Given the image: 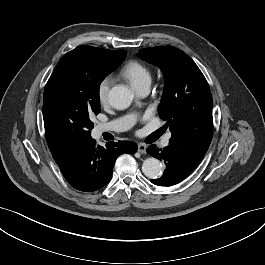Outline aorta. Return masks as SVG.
Masks as SVG:
<instances>
[{
  "instance_id": "aorta-1",
  "label": "aorta",
  "mask_w": 265,
  "mask_h": 265,
  "mask_svg": "<svg viewBox=\"0 0 265 265\" xmlns=\"http://www.w3.org/2000/svg\"><path fill=\"white\" fill-rule=\"evenodd\" d=\"M109 102L116 109H126L133 100L132 92L123 85L114 86L109 91ZM162 164L156 158H147L142 165L144 175L150 179H157L162 175Z\"/></svg>"
}]
</instances>
